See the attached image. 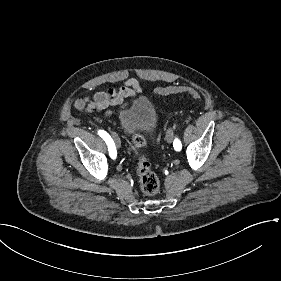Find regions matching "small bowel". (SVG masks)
Masks as SVG:
<instances>
[{"instance_id":"c3829d8e","label":"small bowel","mask_w":281,"mask_h":281,"mask_svg":"<svg viewBox=\"0 0 281 281\" xmlns=\"http://www.w3.org/2000/svg\"><path fill=\"white\" fill-rule=\"evenodd\" d=\"M140 92L139 82L135 78H129L119 88L110 87L107 91L96 92L92 97L77 99L74 107L84 112H102L111 116L117 109H125L127 99L136 97Z\"/></svg>"}]
</instances>
